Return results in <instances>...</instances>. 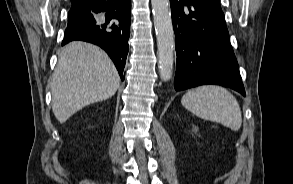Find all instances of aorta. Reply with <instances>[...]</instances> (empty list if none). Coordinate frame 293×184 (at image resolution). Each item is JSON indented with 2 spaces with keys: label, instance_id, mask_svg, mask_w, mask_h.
Here are the masks:
<instances>
[{
  "label": "aorta",
  "instance_id": "762f6f07",
  "mask_svg": "<svg viewBox=\"0 0 293 184\" xmlns=\"http://www.w3.org/2000/svg\"><path fill=\"white\" fill-rule=\"evenodd\" d=\"M157 38V57L160 77L168 81L172 77L174 62V31L169 0H151Z\"/></svg>",
  "mask_w": 293,
  "mask_h": 184
}]
</instances>
